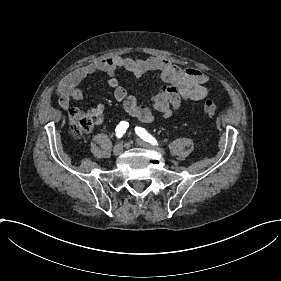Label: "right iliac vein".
I'll return each mask as SVG.
<instances>
[{
  "label": "right iliac vein",
  "instance_id": "1",
  "mask_svg": "<svg viewBox=\"0 0 281 281\" xmlns=\"http://www.w3.org/2000/svg\"><path fill=\"white\" fill-rule=\"evenodd\" d=\"M115 148H114V150H113V152H114V154H116V155H119V154H121L122 153V144L121 143H116L115 144V146H114Z\"/></svg>",
  "mask_w": 281,
  "mask_h": 281
}]
</instances>
